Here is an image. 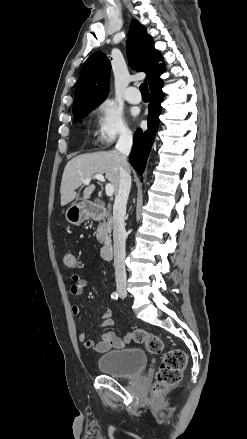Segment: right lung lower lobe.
Masks as SVG:
<instances>
[{
    "label": "right lung lower lobe",
    "mask_w": 247,
    "mask_h": 439,
    "mask_svg": "<svg viewBox=\"0 0 247 439\" xmlns=\"http://www.w3.org/2000/svg\"><path fill=\"white\" fill-rule=\"evenodd\" d=\"M162 85L151 89V98L148 113V130L142 132L139 128L134 134L133 148L129 156L130 164L140 174L144 172L147 157L154 142L156 130L158 127V116L161 111V101L163 99Z\"/></svg>",
    "instance_id": "obj_1"
}]
</instances>
